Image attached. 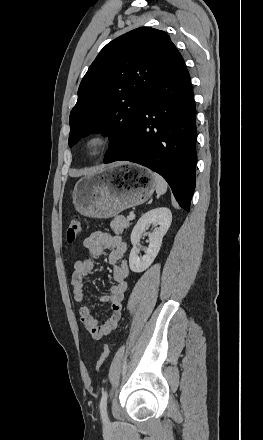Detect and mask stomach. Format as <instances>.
Wrapping results in <instances>:
<instances>
[{
  "label": "stomach",
  "mask_w": 263,
  "mask_h": 440,
  "mask_svg": "<svg viewBox=\"0 0 263 440\" xmlns=\"http://www.w3.org/2000/svg\"><path fill=\"white\" fill-rule=\"evenodd\" d=\"M156 189L152 171L130 165L107 166L79 179L72 198L82 215L107 219L145 203Z\"/></svg>",
  "instance_id": "0dacf381"
}]
</instances>
